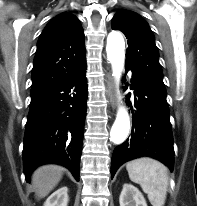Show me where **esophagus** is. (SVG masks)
Masks as SVG:
<instances>
[{
	"label": "esophagus",
	"instance_id": "1",
	"mask_svg": "<svg viewBox=\"0 0 197 206\" xmlns=\"http://www.w3.org/2000/svg\"><path fill=\"white\" fill-rule=\"evenodd\" d=\"M106 88H107V96L110 100V103L113 108L116 107V101H115V94H114V81L111 74V71L107 68L106 71Z\"/></svg>",
	"mask_w": 197,
	"mask_h": 206
}]
</instances>
